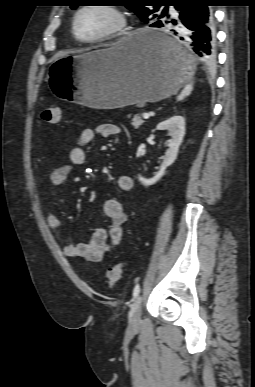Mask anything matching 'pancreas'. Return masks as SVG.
<instances>
[{"instance_id": "1", "label": "pancreas", "mask_w": 255, "mask_h": 387, "mask_svg": "<svg viewBox=\"0 0 255 387\" xmlns=\"http://www.w3.org/2000/svg\"><path fill=\"white\" fill-rule=\"evenodd\" d=\"M144 123V120L141 119V117L139 115H135L133 118H132V122H131V125L137 129L139 128L142 124Z\"/></svg>"}]
</instances>
